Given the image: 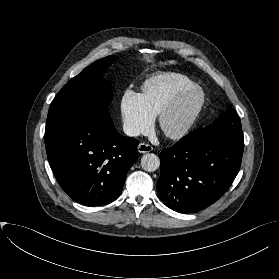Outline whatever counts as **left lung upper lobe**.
Returning a JSON list of instances; mask_svg holds the SVG:
<instances>
[{
  "instance_id": "1",
  "label": "left lung upper lobe",
  "mask_w": 279,
  "mask_h": 279,
  "mask_svg": "<svg viewBox=\"0 0 279 279\" xmlns=\"http://www.w3.org/2000/svg\"><path fill=\"white\" fill-rule=\"evenodd\" d=\"M193 136L217 135L225 136L234 141L244 143L241 121L232 108L219 115L212 125L199 128L190 133Z\"/></svg>"
}]
</instances>
